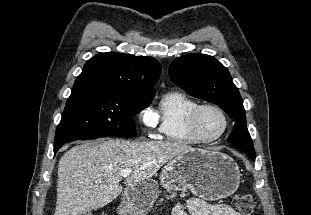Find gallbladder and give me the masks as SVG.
I'll return each mask as SVG.
<instances>
[{
  "label": "gallbladder",
  "mask_w": 311,
  "mask_h": 215,
  "mask_svg": "<svg viewBox=\"0 0 311 215\" xmlns=\"http://www.w3.org/2000/svg\"><path fill=\"white\" fill-rule=\"evenodd\" d=\"M80 215H93V214H92V212L87 211V212H84V213H82V214H80Z\"/></svg>",
  "instance_id": "gallbladder-1"
}]
</instances>
